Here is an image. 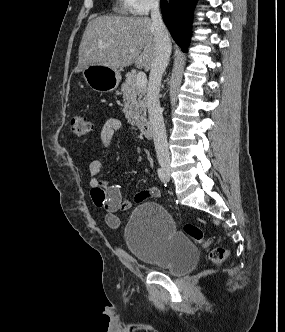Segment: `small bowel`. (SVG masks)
<instances>
[{
  "mask_svg": "<svg viewBox=\"0 0 285 332\" xmlns=\"http://www.w3.org/2000/svg\"><path fill=\"white\" fill-rule=\"evenodd\" d=\"M122 128V122L115 117L108 118L99 131V141L103 147H109L112 139ZM103 166V159L95 156L89 163L91 198L95 206L107 211L106 221L110 227L117 228L120 225V219L116 215L117 211L129 210L132 202L123 199L118 187L110 186L107 181L99 179L98 175ZM160 191L157 187H151L139 191L135 195V202L142 203L148 199L155 198Z\"/></svg>",
  "mask_w": 285,
  "mask_h": 332,
  "instance_id": "c3829d8e",
  "label": "small bowel"
}]
</instances>
